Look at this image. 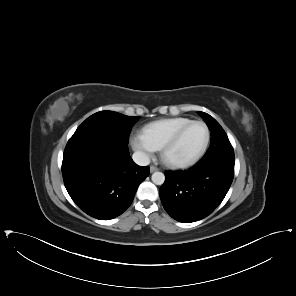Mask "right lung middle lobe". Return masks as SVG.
Instances as JSON below:
<instances>
[{"instance_id":"1","label":"right lung middle lobe","mask_w":296,"mask_h":296,"mask_svg":"<svg viewBox=\"0 0 296 296\" xmlns=\"http://www.w3.org/2000/svg\"><path fill=\"white\" fill-rule=\"evenodd\" d=\"M139 117L125 116L113 111H100L88 117L72 137L99 135L128 143L129 134Z\"/></svg>"}]
</instances>
